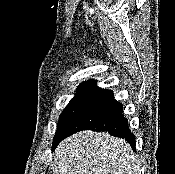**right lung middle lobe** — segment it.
I'll return each mask as SVG.
<instances>
[{
  "label": "right lung middle lobe",
  "mask_w": 175,
  "mask_h": 174,
  "mask_svg": "<svg viewBox=\"0 0 175 174\" xmlns=\"http://www.w3.org/2000/svg\"><path fill=\"white\" fill-rule=\"evenodd\" d=\"M89 94H76L68 103L66 108L63 110L59 117V121L57 124V131L54 136L53 144L61 139L63 134L65 133L67 127L69 126L71 120L80 109V107L84 104Z\"/></svg>",
  "instance_id": "right-lung-middle-lobe-1"
}]
</instances>
